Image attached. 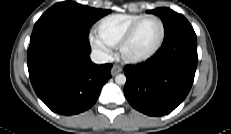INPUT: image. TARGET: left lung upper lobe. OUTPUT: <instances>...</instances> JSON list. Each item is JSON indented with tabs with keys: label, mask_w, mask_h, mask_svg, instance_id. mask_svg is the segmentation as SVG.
Masks as SVG:
<instances>
[{
	"label": "left lung upper lobe",
	"mask_w": 231,
	"mask_h": 134,
	"mask_svg": "<svg viewBox=\"0 0 231 134\" xmlns=\"http://www.w3.org/2000/svg\"><path fill=\"white\" fill-rule=\"evenodd\" d=\"M147 13L156 14L162 19L164 26L163 44H167L178 38L196 36L188 20L183 15L169 8L161 7L147 11Z\"/></svg>",
	"instance_id": "5c2ea615"
}]
</instances>
